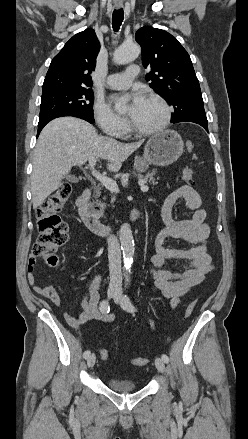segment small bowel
Here are the masks:
<instances>
[{"mask_svg":"<svg viewBox=\"0 0 248 439\" xmlns=\"http://www.w3.org/2000/svg\"><path fill=\"white\" fill-rule=\"evenodd\" d=\"M183 199L189 209L194 210L188 219H175L172 209L175 203ZM201 198L198 193L188 185L180 186L165 198L161 216L165 227L155 239V254L151 258V275L153 287L164 297L170 299V307L179 305L181 298L190 290L200 284L205 276L213 269L212 257L207 250L210 236V226L206 223V211L201 208ZM168 238L178 239L191 244L189 248L165 247ZM171 261L180 262V270L170 269ZM37 257L32 254L28 261L27 278L34 291L40 296L50 300L55 306L62 305L61 298L52 286H42L35 276ZM101 280L99 274L88 281L85 287L90 289V299L82 294L80 304L83 312L79 316H72L65 312L64 318L72 327H78L89 320L97 319L103 322H112L114 315L103 314L98 310V287Z\"/></svg>","mask_w":248,"mask_h":439,"instance_id":"1","label":"small bowel"}]
</instances>
